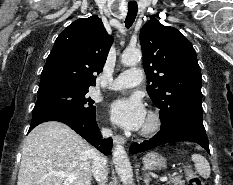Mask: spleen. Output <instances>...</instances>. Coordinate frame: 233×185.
I'll list each match as a JSON object with an SVG mask.
<instances>
[{
    "mask_svg": "<svg viewBox=\"0 0 233 185\" xmlns=\"http://www.w3.org/2000/svg\"><path fill=\"white\" fill-rule=\"evenodd\" d=\"M192 160L195 164L196 171L203 178H209L210 176V165L205 157L200 154H193Z\"/></svg>",
    "mask_w": 233,
    "mask_h": 185,
    "instance_id": "1",
    "label": "spleen"
}]
</instances>
